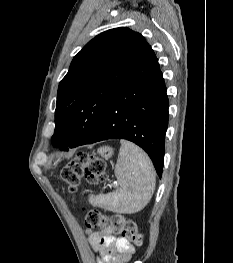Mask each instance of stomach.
Wrapping results in <instances>:
<instances>
[{
    "label": "stomach",
    "mask_w": 233,
    "mask_h": 263,
    "mask_svg": "<svg viewBox=\"0 0 233 263\" xmlns=\"http://www.w3.org/2000/svg\"><path fill=\"white\" fill-rule=\"evenodd\" d=\"M98 153L101 154L104 158L108 159L112 156L113 150L112 148L105 146L98 149Z\"/></svg>",
    "instance_id": "obj_1"
}]
</instances>
